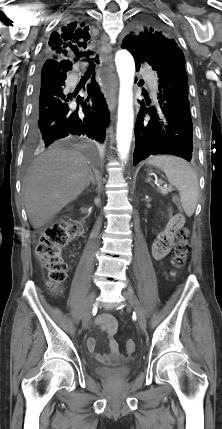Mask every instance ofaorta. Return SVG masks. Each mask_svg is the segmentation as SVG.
Segmentation results:
<instances>
[{"label": "aorta", "instance_id": "obj_1", "mask_svg": "<svg viewBox=\"0 0 222 429\" xmlns=\"http://www.w3.org/2000/svg\"><path fill=\"white\" fill-rule=\"evenodd\" d=\"M115 62L120 79L116 140L119 157L121 160H126L130 150L134 124L132 87L135 63L132 55L126 50L116 53Z\"/></svg>", "mask_w": 222, "mask_h": 429}]
</instances>
